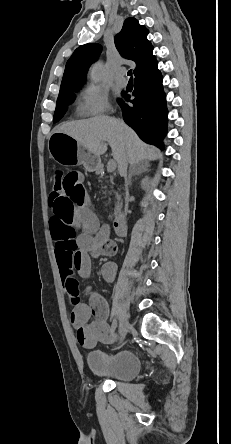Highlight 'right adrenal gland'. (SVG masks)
I'll use <instances>...</instances> for the list:
<instances>
[{
    "mask_svg": "<svg viewBox=\"0 0 231 444\" xmlns=\"http://www.w3.org/2000/svg\"><path fill=\"white\" fill-rule=\"evenodd\" d=\"M149 164L147 162H140L138 164L130 165V172L128 176V183H131V178L133 175L141 174L147 172L149 169Z\"/></svg>",
    "mask_w": 231,
    "mask_h": 444,
    "instance_id": "1",
    "label": "right adrenal gland"
}]
</instances>
